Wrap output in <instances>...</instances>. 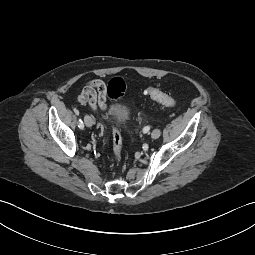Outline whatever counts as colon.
I'll return each instance as SVG.
<instances>
[{"label":"colon","mask_w":255,"mask_h":255,"mask_svg":"<svg viewBox=\"0 0 255 255\" xmlns=\"http://www.w3.org/2000/svg\"><path fill=\"white\" fill-rule=\"evenodd\" d=\"M126 81L121 77L112 78L107 87L108 94L111 98L116 99L121 97L126 90ZM146 94L152 100L158 102L164 107H173L178 104V101L169 94L161 91L157 87H149L146 89ZM113 152L116 161L121 159L123 143L119 129L114 126L112 130Z\"/></svg>","instance_id":"1"}]
</instances>
